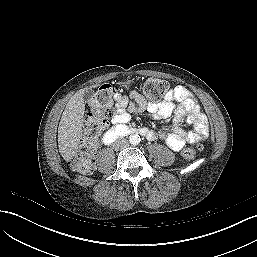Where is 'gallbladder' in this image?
Instances as JSON below:
<instances>
[{
	"instance_id": "gallbladder-1",
	"label": "gallbladder",
	"mask_w": 257,
	"mask_h": 257,
	"mask_svg": "<svg viewBox=\"0 0 257 257\" xmlns=\"http://www.w3.org/2000/svg\"><path fill=\"white\" fill-rule=\"evenodd\" d=\"M93 96V92L91 90H86L83 94V99L85 101H89L91 97Z\"/></svg>"
}]
</instances>
